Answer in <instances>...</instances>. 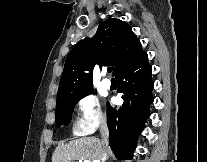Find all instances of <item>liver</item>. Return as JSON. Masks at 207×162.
I'll return each instance as SVG.
<instances>
[{
    "mask_svg": "<svg viewBox=\"0 0 207 162\" xmlns=\"http://www.w3.org/2000/svg\"><path fill=\"white\" fill-rule=\"evenodd\" d=\"M104 152L106 153V157L113 156L108 145L102 143L100 139L82 137L65 144H59L52 155V162H73L76 160L100 161Z\"/></svg>",
    "mask_w": 207,
    "mask_h": 162,
    "instance_id": "1",
    "label": "liver"
}]
</instances>
